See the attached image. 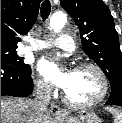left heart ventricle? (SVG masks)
I'll return each mask as SVG.
<instances>
[{
	"instance_id": "1",
	"label": "left heart ventricle",
	"mask_w": 122,
	"mask_h": 123,
	"mask_svg": "<svg viewBox=\"0 0 122 123\" xmlns=\"http://www.w3.org/2000/svg\"><path fill=\"white\" fill-rule=\"evenodd\" d=\"M102 90L99 75L90 68L72 71L69 85L64 89L67 96L78 102H85L97 97Z\"/></svg>"
}]
</instances>
